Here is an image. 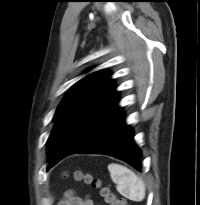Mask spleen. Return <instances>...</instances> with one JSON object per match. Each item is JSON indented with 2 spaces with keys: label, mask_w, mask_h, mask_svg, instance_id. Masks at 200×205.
Segmentation results:
<instances>
[{
  "label": "spleen",
  "mask_w": 200,
  "mask_h": 205,
  "mask_svg": "<svg viewBox=\"0 0 200 205\" xmlns=\"http://www.w3.org/2000/svg\"><path fill=\"white\" fill-rule=\"evenodd\" d=\"M108 170L122 196L132 201H142L145 198V184L132 170L115 163L109 164Z\"/></svg>",
  "instance_id": "1"
}]
</instances>
